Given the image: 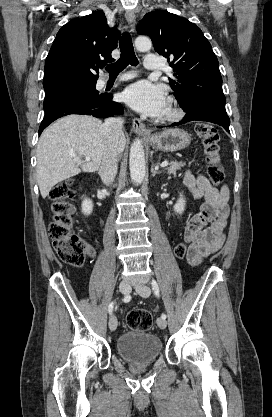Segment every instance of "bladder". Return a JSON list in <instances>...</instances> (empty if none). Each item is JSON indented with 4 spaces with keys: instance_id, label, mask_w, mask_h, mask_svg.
<instances>
[{
    "instance_id": "1",
    "label": "bladder",
    "mask_w": 272,
    "mask_h": 417,
    "mask_svg": "<svg viewBox=\"0 0 272 417\" xmlns=\"http://www.w3.org/2000/svg\"><path fill=\"white\" fill-rule=\"evenodd\" d=\"M117 351L129 363L148 364L161 354L162 341L151 333L129 331L118 338Z\"/></svg>"
}]
</instances>
